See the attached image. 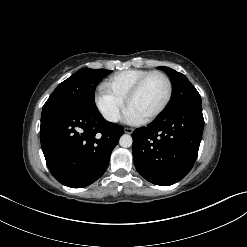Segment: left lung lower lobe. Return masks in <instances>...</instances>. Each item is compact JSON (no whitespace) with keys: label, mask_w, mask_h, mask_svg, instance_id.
<instances>
[{"label":"left lung lower lobe","mask_w":247,"mask_h":247,"mask_svg":"<svg viewBox=\"0 0 247 247\" xmlns=\"http://www.w3.org/2000/svg\"><path fill=\"white\" fill-rule=\"evenodd\" d=\"M201 103L165 110L147 127L133 134V159L147 181L169 186L184 178L193 167L202 138Z\"/></svg>","instance_id":"obj_1"}]
</instances>
